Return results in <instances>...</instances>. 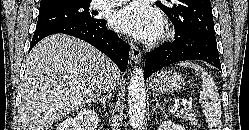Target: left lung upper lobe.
Returning a JSON list of instances; mask_svg holds the SVG:
<instances>
[{"instance_id": "obj_1", "label": "left lung upper lobe", "mask_w": 249, "mask_h": 130, "mask_svg": "<svg viewBox=\"0 0 249 130\" xmlns=\"http://www.w3.org/2000/svg\"><path fill=\"white\" fill-rule=\"evenodd\" d=\"M156 5L168 16L175 27V32L185 35L201 32L215 36L212 7L210 0H167Z\"/></svg>"}]
</instances>
